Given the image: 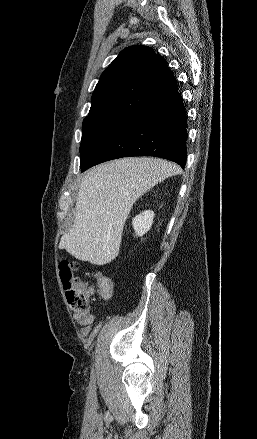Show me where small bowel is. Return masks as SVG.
<instances>
[{
    "label": "small bowel",
    "mask_w": 257,
    "mask_h": 439,
    "mask_svg": "<svg viewBox=\"0 0 257 439\" xmlns=\"http://www.w3.org/2000/svg\"><path fill=\"white\" fill-rule=\"evenodd\" d=\"M75 320L83 326L82 332L84 335H87L90 331V326L95 320V316L93 314H88L86 316L80 315L78 313L74 314Z\"/></svg>",
    "instance_id": "small-bowel-1"
}]
</instances>
